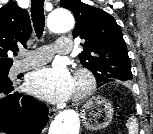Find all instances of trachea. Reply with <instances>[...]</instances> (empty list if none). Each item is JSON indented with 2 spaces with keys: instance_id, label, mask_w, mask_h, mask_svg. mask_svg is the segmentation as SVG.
<instances>
[{
  "instance_id": "trachea-1",
  "label": "trachea",
  "mask_w": 153,
  "mask_h": 134,
  "mask_svg": "<svg viewBox=\"0 0 153 134\" xmlns=\"http://www.w3.org/2000/svg\"><path fill=\"white\" fill-rule=\"evenodd\" d=\"M31 17L37 37L40 38L45 24L44 0H31Z\"/></svg>"
}]
</instances>
